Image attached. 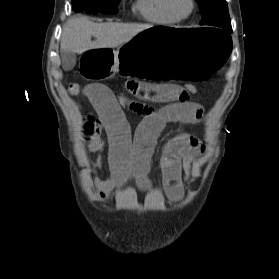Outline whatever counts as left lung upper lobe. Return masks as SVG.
Instances as JSON below:
<instances>
[{
  "label": "left lung upper lobe",
  "mask_w": 279,
  "mask_h": 279,
  "mask_svg": "<svg viewBox=\"0 0 279 279\" xmlns=\"http://www.w3.org/2000/svg\"><path fill=\"white\" fill-rule=\"evenodd\" d=\"M202 15L201 25L218 29H227L231 26L226 0H196Z\"/></svg>",
  "instance_id": "5c2ea615"
}]
</instances>
